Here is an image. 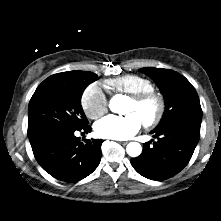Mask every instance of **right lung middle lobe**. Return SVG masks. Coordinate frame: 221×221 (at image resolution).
Instances as JSON below:
<instances>
[{"label": "right lung middle lobe", "mask_w": 221, "mask_h": 221, "mask_svg": "<svg viewBox=\"0 0 221 221\" xmlns=\"http://www.w3.org/2000/svg\"><path fill=\"white\" fill-rule=\"evenodd\" d=\"M98 76L69 71L45 79L34 92L28 110V137L55 127L82 128L88 120L81 106L85 88Z\"/></svg>", "instance_id": "1"}]
</instances>
